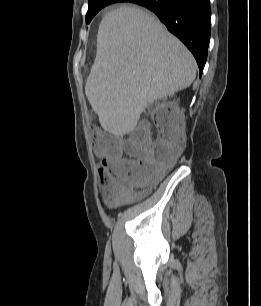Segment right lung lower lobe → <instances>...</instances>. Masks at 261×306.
Masks as SVG:
<instances>
[{
  "label": "right lung lower lobe",
  "mask_w": 261,
  "mask_h": 306,
  "mask_svg": "<svg viewBox=\"0 0 261 306\" xmlns=\"http://www.w3.org/2000/svg\"><path fill=\"white\" fill-rule=\"evenodd\" d=\"M154 12L192 52L200 74L206 63L211 9L209 0H130Z\"/></svg>",
  "instance_id": "98d812e1"
}]
</instances>
